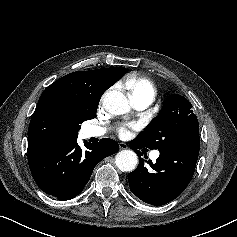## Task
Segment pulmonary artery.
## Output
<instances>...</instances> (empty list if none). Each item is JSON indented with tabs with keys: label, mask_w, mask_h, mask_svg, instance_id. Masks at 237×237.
<instances>
[{
	"label": "pulmonary artery",
	"mask_w": 237,
	"mask_h": 237,
	"mask_svg": "<svg viewBox=\"0 0 237 237\" xmlns=\"http://www.w3.org/2000/svg\"><path fill=\"white\" fill-rule=\"evenodd\" d=\"M150 103L151 102L148 100H140V101L134 103V105L137 109L142 110V109H145L146 107H148L150 105ZM106 132H107V130L105 128L98 127V126H89L87 129V134L89 137H101V136L105 135ZM158 156H159V153L154 152L151 155V158L156 159Z\"/></svg>",
	"instance_id": "e3ab8cb5"
}]
</instances>
